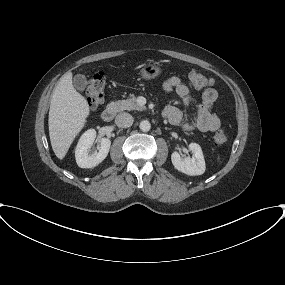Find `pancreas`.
I'll return each mask as SVG.
<instances>
[{
	"label": "pancreas",
	"instance_id": "obj_1",
	"mask_svg": "<svg viewBox=\"0 0 285 285\" xmlns=\"http://www.w3.org/2000/svg\"><path fill=\"white\" fill-rule=\"evenodd\" d=\"M116 112H121L124 110L131 111V110H145V106H141L137 103V99L134 95H131L126 100H119L115 102H111L110 104Z\"/></svg>",
	"mask_w": 285,
	"mask_h": 285
}]
</instances>
